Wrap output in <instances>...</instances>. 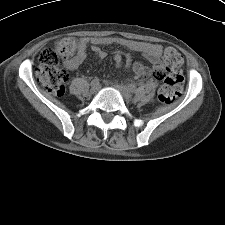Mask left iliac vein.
Instances as JSON below:
<instances>
[{
	"label": "left iliac vein",
	"mask_w": 225,
	"mask_h": 225,
	"mask_svg": "<svg viewBox=\"0 0 225 225\" xmlns=\"http://www.w3.org/2000/svg\"><path fill=\"white\" fill-rule=\"evenodd\" d=\"M114 86L120 91L122 97L126 101H131L132 98H131L130 90L127 86L121 85V84H115Z\"/></svg>",
	"instance_id": "4c4485c4"
}]
</instances>
